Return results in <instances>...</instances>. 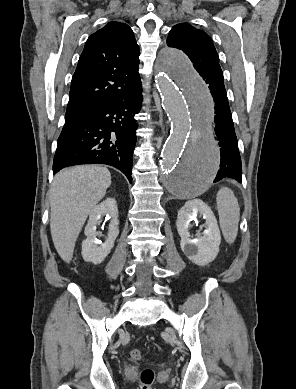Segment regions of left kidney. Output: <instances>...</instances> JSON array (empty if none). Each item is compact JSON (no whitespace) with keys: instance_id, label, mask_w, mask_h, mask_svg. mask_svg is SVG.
<instances>
[{"instance_id":"5707ae66","label":"left kidney","mask_w":296,"mask_h":389,"mask_svg":"<svg viewBox=\"0 0 296 389\" xmlns=\"http://www.w3.org/2000/svg\"><path fill=\"white\" fill-rule=\"evenodd\" d=\"M198 214L205 219L206 229L203 233H198L196 238L191 239L190 222L196 220ZM176 226L181 237V249L190 261L205 266L216 258L221 235L215 215L207 204L200 199L187 201L178 212Z\"/></svg>"}]
</instances>
